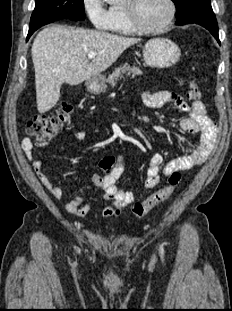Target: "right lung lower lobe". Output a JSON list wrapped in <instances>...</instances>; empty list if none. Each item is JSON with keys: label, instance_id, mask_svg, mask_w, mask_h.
Segmentation results:
<instances>
[{"label": "right lung lower lobe", "instance_id": "right-lung-lower-lobe-1", "mask_svg": "<svg viewBox=\"0 0 232 311\" xmlns=\"http://www.w3.org/2000/svg\"><path fill=\"white\" fill-rule=\"evenodd\" d=\"M59 20H60V19H59ZM54 21H57V20H54ZM54 21H51V22H54ZM51 22H48V23H51ZM48 23L30 27L29 32H28V36H27V40L29 39V37H30L38 28H40L41 26L46 25V24H48Z\"/></svg>", "mask_w": 232, "mask_h": 311}]
</instances>
